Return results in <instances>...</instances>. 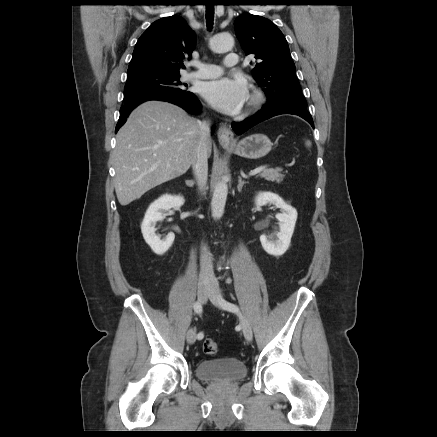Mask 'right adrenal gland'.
Wrapping results in <instances>:
<instances>
[{"label": "right adrenal gland", "instance_id": "right-adrenal-gland-1", "mask_svg": "<svg viewBox=\"0 0 437 437\" xmlns=\"http://www.w3.org/2000/svg\"><path fill=\"white\" fill-rule=\"evenodd\" d=\"M185 183L189 187H193L194 186V181L193 180H186Z\"/></svg>", "mask_w": 437, "mask_h": 437}]
</instances>
